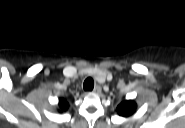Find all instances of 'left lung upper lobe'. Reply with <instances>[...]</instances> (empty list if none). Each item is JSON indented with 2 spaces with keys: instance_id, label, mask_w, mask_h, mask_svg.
<instances>
[{
  "instance_id": "1",
  "label": "left lung upper lobe",
  "mask_w": 185,
  "mask_h": 128,
  "mask_svg": "<svg viewBox=\"0 0 185 128\" xmlns=\"http://www.w3.org/2000/svg\"><path fill=\"white\" fill-rule=\"evenodd\" d=\"M134 109V104L130 101L123 102L118 106V110H120V113L122 115H129Z\"/></svg>"
}]
</instances>
